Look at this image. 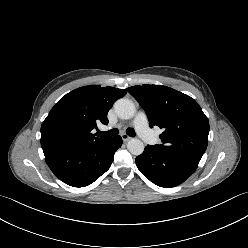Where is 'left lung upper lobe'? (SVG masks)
I'll return each instance as SVG.
<instances>
[{"label":"left lung upper lobe","instance_id":"obj_1","mask_svg":"<svg viewBox=\"0 0 248 248\" xmlns=\"http://www.w3.org/2000/svg\"><path fill=\"white\" fill-rule=\"evenodd\" d=\"M145 110L150 127L163 129L161 145L153 147L163 153L199 162L209 134V121L190 96L162 85L127 88Z\"/></svg>","mask_w":248,"mask_h":248}]
</instances>
